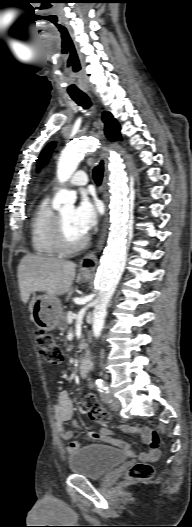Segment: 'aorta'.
Here are the masks:
<instances>
[{"mask_svg": "<svg viewBox=\"0 0 192 527\" xmlns=\"http://www.w3.org/2000/svg\"><path fill=\"white\" fill-rule=\"evenodd\" d=\"M97 146L93 138L79 139L68 144L58 160L57 178L66 182L76 171L85 152L95 150ZM110 234L104 249L97 272L96 287L98 299L95 307L93 334L98 338L104 327L106 308L114 294L116 285L122 275L126 262L127 238L132 233L129 223V185L128 170L120 155L111 152L110 162ZM75 195L67 190H60L54 199V207L72 206Z\"/></svg>", "mask_w": 192, "mask_h": 527, "instance_id": "aorta-1", "label": "aorta"}]
</instances>
